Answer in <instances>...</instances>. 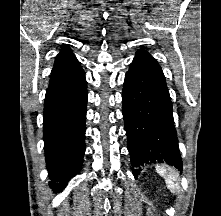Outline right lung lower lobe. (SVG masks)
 Instances as JSON below:
<instances>
[{"mask_svg": "<svg viewBox=\"0 0 221 216\" xmlns=\"http://www.w3.org/2000/svg\"><path fill=\"white\" fill-rule=\"evenodd\" d=\"M87 82L80 70L50 83L44 103L43 140L50 186L62 191L82 167Z\"/></svg>", "mask_w": 221, "mask_h": 216, "instance_id": "right-lung-lower-lobe-1", "label": "right lung lower lobe"}]
</instances>
